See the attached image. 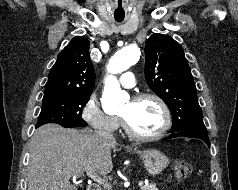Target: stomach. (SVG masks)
<instances>
[{
  "label": "stomach",
  "instance_id": "stomach-1",
  "mask_svg": "<svg viewBox=\"0 0 238 190\" xmlns=\"http://www.w3.org/2000/svg\"><path fill=\"white\" fill-rule=\"evenodd\" d=\"M137 153L150 175H159L169 165L168 157L156 149L137 151Z\"/></svg>",
  "mask_w": 238,
  "mask_h": 190
}]
</instances>
